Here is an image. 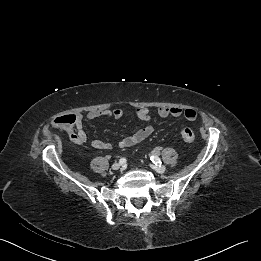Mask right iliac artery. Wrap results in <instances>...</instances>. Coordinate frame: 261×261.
I'll use <instances>...</instances> for the list:
<instances>
[{
    "instance_id": "1",
    "label": "right iliac artery",
    "mask_w": 261,
    "mask_h": 261,
    "mask_svg": "<svg viewBox=\"0 0 261 261\" xmlns=\"http://www.w3.org/2000/svg\"><path fill=\"white\" fill-rule=\"evenodd\" d=\"M119 163H120V164H125V163H126V159H125V158H121V159L119 160Z\"/></svg>"
}]
</instances>
